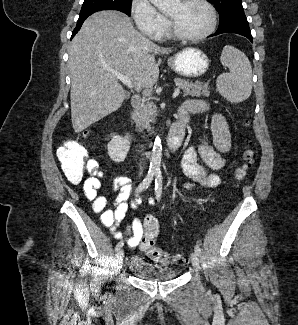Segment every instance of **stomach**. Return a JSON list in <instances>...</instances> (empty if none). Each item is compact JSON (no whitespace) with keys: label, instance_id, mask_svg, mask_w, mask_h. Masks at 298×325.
Returning a JSON list of instances; mask_svg holds the SVG:
<instances>
[{"label":"stomach","instance_id":"stomach-1","mask_svg":"<svg viewBox=\"0 0 298 325\" xmlns=\"http://www.w3.org/2000/svg\"><path fill=\"white\" fill-rule=\"evenodd\" d=\"M210 58L202 48L196 46H185L179 52L168 58V66L173 72L185 78L202 76L209 68Z\"/></svg>","mask_w":298,"mask_h":325}]
</instances>
